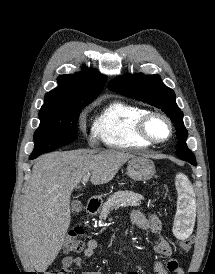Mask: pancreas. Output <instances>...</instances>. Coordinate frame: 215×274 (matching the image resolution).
I'll return each mask as SVG.
<instances>
[{"label":"pancreas","instance_id":"obj_1","mask_svg":"<svg viewBox=\"0 0 215 274\" xmlns=\"http://www.w3.org/2000/svg\"><path fill=\"white\" fill-rule=\"evenodd\" d=\"M143 199L142 195L132 191H118L103 204L100 217L106 219L111 211L117 210L119 207H137Z\"/></svg>","mask_w":215,"mask_h":274}]
</instances>
